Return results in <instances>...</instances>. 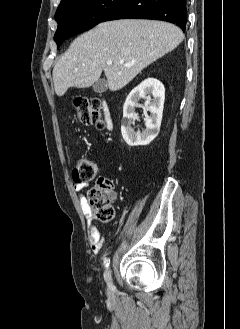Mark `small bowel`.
<instances>
[{"instance_id":"1","label":"small bowel","mask_w":240,"mask_h":329,"mask_svg":"<svg viewBox=\"0 0 240 329\" xmlns=\"http://www.w3.org/2000/svg\"><path fill=\"white\" fill-rule=\"evenodd\" d=\"M85 187H86V184L75 183L73 185L74 191L80 195L79 202H80L83 212L87 218V236H88L89 242L91 244V248L94 252H99L102 248L103 237H102L96 223L92 219L91 211L86 203L85 197L82 195V192L85 189Z\"/></svg>"}]
</instances>
